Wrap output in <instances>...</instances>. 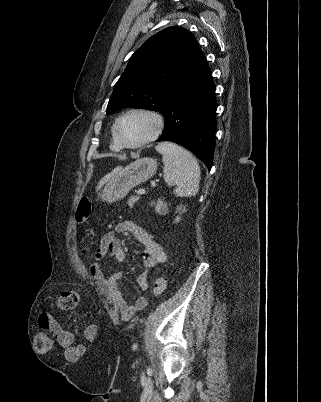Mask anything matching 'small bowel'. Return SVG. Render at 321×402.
I'll list each match as a JSON object with an SVG mask.
<instances>
[{"label":"small bowel","instance_id":"obj_1","mask_svg":"<svg viewBox=\"0 0 321 402\" xmlns=\"http://www.w3.org/2000/svg\"><path fill=\"white\" fill-rule=\"evenodd\" d=\"M117 233L132 234L144 247L141 254V262L145 269L144 273L137 280V291L143 293L149 287L148 271L154 266L164 263L167 255L161 245L157 243L152 236L142 227L131 221L120 223L116 227V232L107 233L101 242L99 249L100 258L106 256L115 261L121 262L125 257L124 247ZM90 272L92 276L98 280L105 279L102 267L98 261L91 265ZM122 278L121 273H113L106 281L107 287L112 301L117 307L120 317L124 321H129L137 312L142 311L146 307V300L143 296H138L133 303H128L121 294L119 283ZM39 326L49 331L59 341L65 350V357L68 360L76 358H85V344L74 343L73 333L71 329L64 326L54 319L53 315L48 311H42L38 318ZM99 333V328L95 324H88L82 332L84 339H93ZM87 345H92V340H87Z\"/></svg>","mask_w":321,"mask_h":402}]
</instances>
